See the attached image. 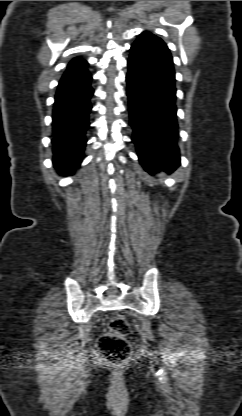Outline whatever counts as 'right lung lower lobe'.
I'll list each match as a JSON object with an SVG mask.
<instances>
[{
	"label": "right lung lower lobe",
	"instance_id": "98d812e1",
	"mask_svg": "<svg viewBox=\"0 0 242 416\" xmlns=\"http://www.w3.org/2000/svg\"><path fill=\"white\" fill-rule=\"evenodd\" d=\"M69 67L62 76L53 109V164L62 175H71L79 167L86 147L90 98L93 89L88 70L74 74Z\"/></svg>",
	"mask_w": 242,
	"mask_h": 416
}]
</instances>
